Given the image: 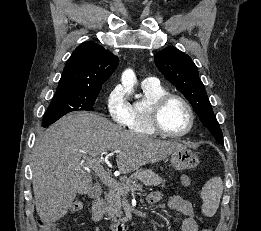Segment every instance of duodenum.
Returning <instances> with one entry per match:
<instances>
[{"label": "duodenum", "instance_id": "410a0bca", "mask_svg": "<svg viewBox=\"0 0 261 231\" xmlns=\"http://www.w3.org/2000/svg\"><path fill=\"white\" fill-rule=\"evenodd\" d=\"M103 203H102V196L99 195L93 202L92 206V215L95 219H99L103 215ZM116 231H127L126 226L119 225L115 228Z\"/></svg>", "mask_w": 261, "mask_h": 231}]
</instances>
